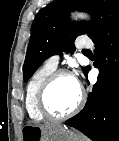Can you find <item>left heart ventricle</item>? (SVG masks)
<instances>
[{
	"instance_id": "b2bd125f",
	"label": "left heart ventricle",
	"mask_w": 119,
	"mask_h": 141,
	"mask_svg": "<svg viewBox=\"0 0 119 141\" xmlns=\"http://www.w3.org/2000/svg\"><path fill=\"white\" fill-rule=\"evenodd\" d=\"M79 99V86L70 76H60L50 87L46 96V105L54 114L70 111Z\"/></svg>"
}]
</instances>
